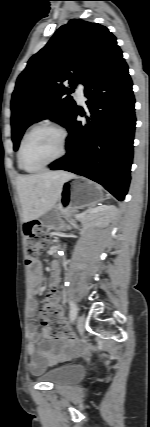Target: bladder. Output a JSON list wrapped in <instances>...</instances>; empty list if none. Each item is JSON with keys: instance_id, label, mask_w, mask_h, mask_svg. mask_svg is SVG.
I'll return each instance as SVG.
<instances>
[{"instance_id": "bladder-1", "label": "bladder", "mask_w": 150, "mask_h": 427, "mask_svg": "<svg viewBox=\"0 0 150 427\" xmlns=\"http://www.w3.org/2000/svg\"><path fill=\"white\" fill-rule=\"evenodd\" d=\"M82 368L77 365H66L45 373L42 378L54 386H63L78 379Z\"/></svg>"}]
</instances>
